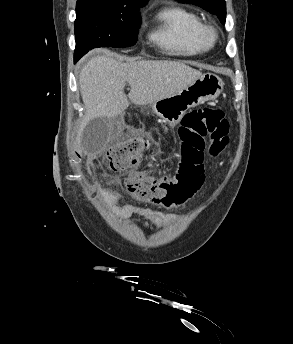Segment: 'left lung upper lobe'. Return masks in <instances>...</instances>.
<instances>
[{"label": "left lung upper lobe", "instance_id": "obj_1", "mask_svg": "<svg viewBox=\"0 0 293 344\" xmlns=\"http://www.w3.org/2000/svg\"><path fill=\"white\" fill-rule=\"evenodd\" d=\"M187 4L197 5L212 14L219 17L220 21L225 24L226 20V3L224 0H179Z\"/></svg>", "mask_w": 293, "mask_h": 344}]
</instances>
